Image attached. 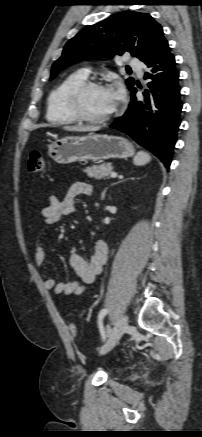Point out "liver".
Instances as JSON below:
<instances>
[{"instance_id":"liver-1","label":"liver","mask_w":202,"mask_h":437,"mask_svg":"<svg viewBox=\"0 0 202 437\" xmlns=\"http://www.w3.org/2000/svg\"><path fill=\"white\" fill-rule=\"evenodd\" d=\"M63 129L72 132H90L98 130V128L91 126H65Z\"/></svg>"}]
</instances>
